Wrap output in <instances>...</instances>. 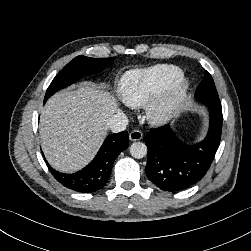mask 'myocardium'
<instances>
[{
  "label": "myocardium",
  "mask_w": 251,
  "mask_h": 251,
  "mask_svg": "<svg viewBox=\"0 0 251 251\" xmlns=\"http://www.w3.org/2000/svg\"><path fill=\"white\" fill-rule=\"evenodd\" d=\"M189 86L188 79L182 76L161 92L146 108L148 121L154 125H161L172 119L182 107Z\"/></svg>",
  "instance_id": "myocardium-1"
}]
</instances>
